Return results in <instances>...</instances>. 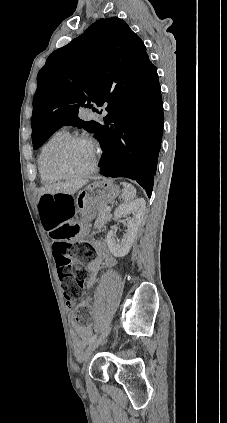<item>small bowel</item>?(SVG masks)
Here are the masks:
<instances>
[{
    "label": "small bowel",
    "instance_id": "c3829d8e",
    "mask_svg": "<svg viewBox=\"0 0 227 423\" xmlns=\"http://www.w3.org/2000/svg\"><path fill=\"white\" fill-rule=\"evenodd\" d=\"M66 224H67V222L62 223L59 227H56L55 229L45 228L49 237L54 241V243L56 242V231L58 229L62 228V226L66 225ZM98 246H99V244H98ZM115 262H116L115 258L107 251L106 248H104V250H99V254L94 258V260L87 264V268L90 272V275H89V278H88V281H87V286L91 287L95 284L98 272L101 269L102 265L105 264L107 266H113L115 264ZM73 304H74L73 301H67L66 302V305L69 308H71L73 306ZM99 317H100V312L98 310H96L94 312V319L97 320V319H99ZM73 328L75 329V331L78 335V339L75 342L76 351H77V353H80L81 350L86 345L88 339L92 335V327L91 326H80L75 321H73Z\"/></svg>",
    "mask_w": 227,
    "mask_h": 423
}]
</instances>
